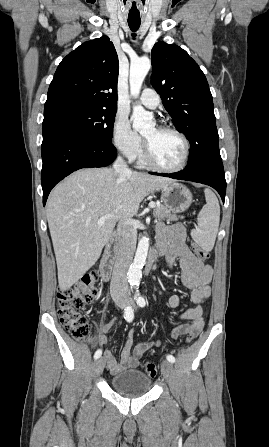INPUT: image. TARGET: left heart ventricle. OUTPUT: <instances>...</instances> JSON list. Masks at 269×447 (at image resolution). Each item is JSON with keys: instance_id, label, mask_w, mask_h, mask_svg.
Listing matches in <instances>:
<instances>
[{"instance_id": "b2bd125f", "label": "left heart ventricle", "mask_w": 269, "mask_h": 447, "mask_svg": "<svg viewBox=\"0 0 269 447\" xmlns=\"http://www.w3.org/2000/svg\"><path fill=\"white\" fill-rule=\"evenodd\" d=\"M143 137L149 143L153 158L158 163L167 167L180 164L184 155V142L179 135L154 125L143 133Z\"/></svg>"}]
</instances>
